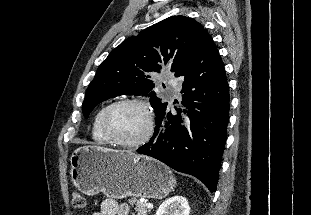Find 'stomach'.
I'll use <instances>...</instances> for the list:
<instances>
[{
	"label": "stomach",
	"mask_w": 311,
	"mask_h": 215,
	"mask_svg": "<svg viewBox=\"0 0 311 215\" xmlns=\"http://www.w3.org/2000/svg\"><path fill=\"white\" fill-rule=\"evenodd\" d=\"M70 164L74 186L89 196L162 199L176 184L167 166L128 151L82 146L73 151Z\"/></svg>",
	"instance_id": "0dacf381"
}]
</instances>
